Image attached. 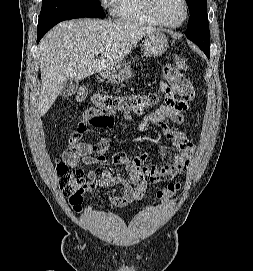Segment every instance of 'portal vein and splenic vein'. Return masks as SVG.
I'll return each instance as SVG.
<instances>
[{"mask_svg": "<svg viewBox=\"0 0 253 271\" xmlns=\"http://www.w3.org/2000/svg\"><path fill=\"white\" fill-rule=\"evenodd\" d=\"M102 52V50H98V51H96V54H99V53H101Z\"/></svg>", "mask_w": 253, "mask_h": 271, "instance_id": "1", "label": "portal vein and splenic vein"}]
</instances>
